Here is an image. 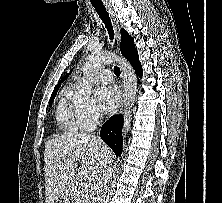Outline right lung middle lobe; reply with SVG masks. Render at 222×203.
I'll use <instances>...</instances> for the list:
<instances>
[{"mask_svg":"<svg viewBox=\"0 0 222 203\" xmlns=\"http://www.w3.org/2000/svg\"><path fill=\"white\" fill-rule=\"evenodd\" d=\"M56 94H57V91H55V92L52 93V95H51V97H50V101H49V105H50V106L52 105V101H53V99L55 98Z\"/></svg>","mask_w":222,"mask_h":203,"instance_id":"1","label":"right lung middle lobe"}]
</instances>
